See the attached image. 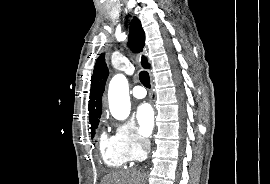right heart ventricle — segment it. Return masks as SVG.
<instances>
[{
  "label": "right heart ventricle",
  "instance_id": "1",
  "mask_svg": "<svg viewBox=\"0 0 270 184\" xmlns=\"http://www.w3.org/2000/svg\"><path fill=\"white\" fill-rule=\"evenodd\" d=\"M100 152L104 163L112 168L125 166L130 160L121 150L115 136L102 133L100 136Z\"/></svg>",
  "mask_w": 270,
  "mask_h": 184
}]
</instances>
